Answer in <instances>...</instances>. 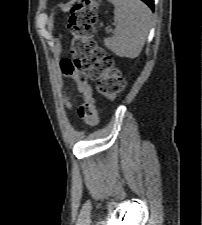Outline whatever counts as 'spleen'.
I'll return each instance as SVG.
<instances>
[{"label":"spleen","instance_id":"1","mask_svg":"<svg viewBox=\"0 0 202 225\" xmlns=\"http://www.w3.org/2000/svg\"><path fill=\"white\" fill-rule=\"evenodd\" d=\"M114 7V36L105 46L120 57L136 58L142 51L151 27V10L140 0H109Z\"/></svg>","mask_w":202,"mask_h":225}]
</instances>
